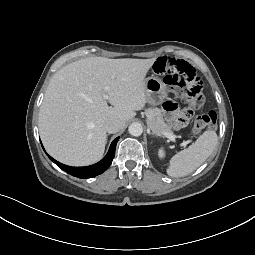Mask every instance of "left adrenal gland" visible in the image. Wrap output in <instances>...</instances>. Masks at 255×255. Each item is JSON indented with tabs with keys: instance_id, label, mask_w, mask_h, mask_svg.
I'll return each instance as SVG.
<instances>
[{
	"instance_id": "a2214340",
	"label": "left adrenal gland",
	"mask_w": 255,
	"mask_h": 255,
	"mask_svg": "<svg viewBox=\"0 0 255 255\" xmlns=\"http://www.w3.org/2000/svg\"><path fill=\"white\" fill-rule=\"evenodd\" d=\"M153 137H157L156 135L151 134Z\"/></svg>"
}]
</instances>
